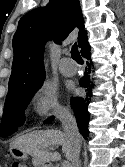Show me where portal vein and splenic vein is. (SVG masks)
<instances>
[{
	"label": "portal vein and splenic vein",
	"mask_w": 125,
	"mask_h": 167,
	"mask_svg": "<svg viewBox=\"0 0 125 167\" xmlns=\"http://www.w3.org/2000/svg\"><path fill=\"white\" fill-rule=\"evenodd\" d=\"M50 150H54V148L50 147ZM62 167H70V163L68 161H65L62 163Z\"/></svg>",
	"instance_id": "18ae733b"
}]
</instances>
